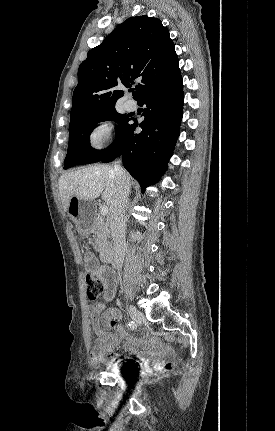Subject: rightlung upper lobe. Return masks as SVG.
Listing matches in <instances>:
<instances>
[{
	"instance_id": "right-lung-upper-lobe-1",
	"label": "right lung upper lobe",
	"mask_w": 275,
	"mask_h": 431,
	"mask_svg": "<svg viewBox=\"0 0 275 431\" xmlns=\"http://www.w3.org/2000/svg\"><path fill=\"white\" fill-rule=\"evenodd\" d=\"M178 57L169 31L157 18L136 16L118 25L88 52L78 69L70 122L115 107L118 90L141 80L133 93L139 100L166 82L177 70Z\"/></svg>"
}]
</instances>
